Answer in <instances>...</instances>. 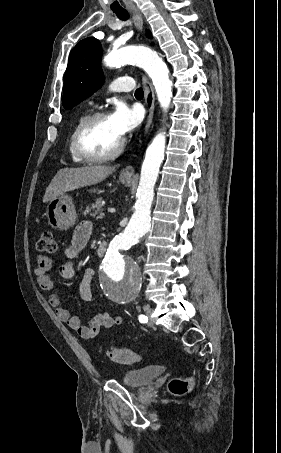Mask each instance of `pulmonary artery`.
Returning <instances> with one entry per match:
<instances>
[{
	"instance_id": "pulmonary-artery-1",
	"label": "pulmonary artery",
	"mask_w": 281,
	"mask_h": 453,
	"mask_svg": "<svg viewBox=\"0 0 281 453\" xmlns=\"http://www.w3.org/2000/svg\"><path fill=\"white\" fill-rule=\"evenodd\" d=\"M127 80H132L131 77H120V78H117V79H114L111 84L114 86V88L117 90V91H127L128 90V87L127 85L125 84V82Z\"/></svg>"
}]
</instances>
